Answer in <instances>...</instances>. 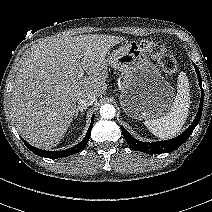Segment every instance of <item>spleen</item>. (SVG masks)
Returning <instances> with one entry per match:
<instances>
[{
	"label": "spleen",
	"mask_w": 212,
	"mask_h": 212,
	"mask_svg": "<svg viewBox=\"0 0 212 212\" xmlns=\"http://www.w3.org/2000/svg\"><path fill=\"white\" fill-rule=\"evenodd\" d=\"M177 94L170 111L158 119L145 120L144 124L155 136L166 139L176 136L185 124L190 107V90L186 74L178 76Z\"/></svg>",
	"instance_id": "spleen-1"
}]
</instances>
